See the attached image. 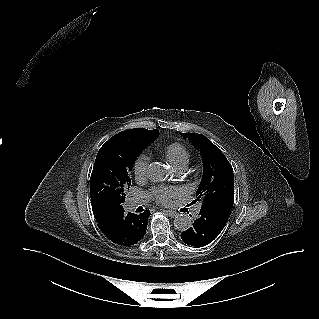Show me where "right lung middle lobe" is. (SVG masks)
I'll return each instance as SVG.
<instances>
[{
  "mask_svg": "<svg viewBox=\"0 0 319 319\" xmlns=\"http://www.w3.org/2000/svg\"><path fill=\"white\" fill-rule=\"evenodd\" d=\"M145 149L115 135L99 150L90 178L93 211L121 205L131 184L130 171Z\"/></svg>",
  "mask_w": 319,
  "mask_h": 319,
  "instance_id": "1",
  "label": "right lung middle lobe"
}]
</instances>
